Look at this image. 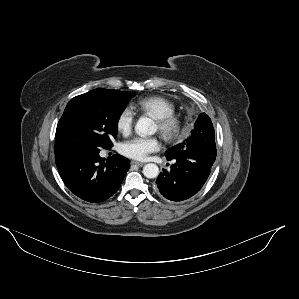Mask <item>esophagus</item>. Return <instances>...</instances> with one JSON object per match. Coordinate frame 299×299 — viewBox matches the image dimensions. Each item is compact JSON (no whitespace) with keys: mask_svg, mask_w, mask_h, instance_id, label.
I'll return each instance as SVG.
<instances>
[{"mask_svg":"<svg viewBox=\"0 0 299 299\" xmlns=\"http://www.w3.org/2000/svg\"><path fill=\"white\" fill-rule=\"evenodd\" d=\"M131 164H132V165H137V166L141 167V166H143L145 163H143V162H138V161H131Z\"/></svg>","mask_w":299,"mask_h":299,"instance_id":"1","label":"esophagus"}]
</instances>
